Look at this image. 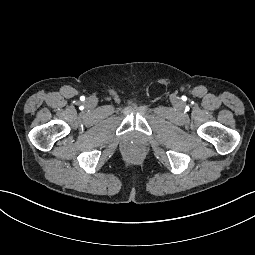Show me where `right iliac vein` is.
<instances>
[{
	"instance_id": "right-iliac-vein-1",
	"label": "right iliac vein",
	"mask_w": 255,
	"mask_h": 255,
	"mask_svg": "<svg viewBox=\"0 0 255 255\" xmlns=\"http://www.w3.org/2000/svg\"><path fill=\"white\" fill-rule=\"evenodd\" d=\"M88 107H94L96 105V100L94 98H89L86 101Z\"/></svg>"
}]
</instances>
